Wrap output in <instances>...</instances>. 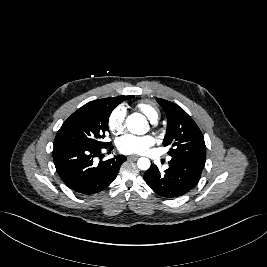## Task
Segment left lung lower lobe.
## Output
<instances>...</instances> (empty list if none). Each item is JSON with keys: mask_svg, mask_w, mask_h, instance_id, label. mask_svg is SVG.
Instances as JSON below:
<instances>
[{"mask_svg": "<svg viewBox=\"0 0 267 267\" xmlns=\"http://www.w3.org/2000/svg\"><path fill=\"white\" fill-rule=\"evenodd\" d=\"M205 164L174 158L169 161V168L161 172L155 164L144 174L149 187L160 196L176 198L194 188L200 180Z\"/></svg>", "mask_w": 267, "mask_h": 267, "instance_id": "1", "label": "left lung lower lobe"}]
</instances>
